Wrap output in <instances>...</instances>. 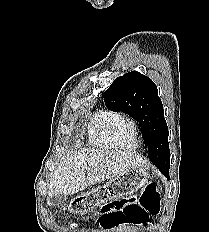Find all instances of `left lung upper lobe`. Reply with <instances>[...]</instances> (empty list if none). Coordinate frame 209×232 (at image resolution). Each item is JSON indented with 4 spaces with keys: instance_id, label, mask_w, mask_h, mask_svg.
Wrapping results in <instances>:
<instances>
[{
    "instance_id": "1",
    "label": "left lung upper lobe",
    "mask_w": 209,
    "mask_h": 232,
    "mask_svg": "<svg viewBox=\"0 0 209 232\" xmlns=\"http://www.w3.org/2000/svg\"><path fill=\"white\" fill-rule=\"evenodd\" d=\"M108 109L123 112L141 126L148 146V157L165 175H169L170 150L168 127L157 87L147 76L132 71L114 80L104 92Z\"/></svg>"
}]
</instances>
